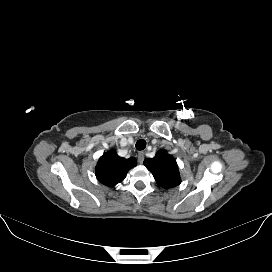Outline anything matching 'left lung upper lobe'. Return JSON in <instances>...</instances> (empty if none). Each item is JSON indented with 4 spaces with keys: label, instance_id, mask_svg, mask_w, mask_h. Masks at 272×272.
<instances>
[{
    "label": "left lung upper lobe",
    "instance_id": "left-lung-upper-lobe-1",
    "mask_svg": "<svg viewBox=\"0 0 272 272\" xmlns=\"http://www.w3.org/2000/svg\"><path fill=\"white\" fill-rule=\"evenodd\" d=\"M143 163L161 187L169 189L181 183L178 165L165 150H159L154 158H147Z\"/></svg>",
    "mask_w": 272,
    "mask_h": 272
}]
</instances>
